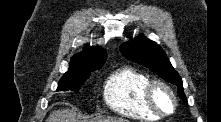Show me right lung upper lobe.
Returning <instances> with one entry per match:
<instances>
[{
  "mask_svg": "<svg viewBox=\"0 0 221 122\" xmlns=\"http://www.w3.org/2000/svg\"><path fill=\"white\" fill-rule=\"evenodd\" d=\"M106 60V53L99 47L87 46L85 49L72 57L69 70L66 74H77L100 68Z\"/></svg>",
  "mask_w": 221,
  "mask_h": 122,
  "instance_id": "obj_1",
  "label": "right lung upper lobe"
}]
</instances>
